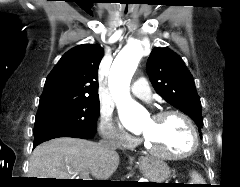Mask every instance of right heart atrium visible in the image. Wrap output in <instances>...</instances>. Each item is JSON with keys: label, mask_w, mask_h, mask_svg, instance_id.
<instances>
[{"label": "right heart atrium", "mask_w": 240, "mask_h": 187, "mask_svg": "<svg viewBox=\"0 0 240 187\" xmlns=\"http://www.w3.org/2000/svg\"><path fill=\"white\" fill-rule=\"evenodd\" d=\"M99 132L103 142L116 146L125 147L134 144L125 135H123L115 124L112 122L111 116L107 113L102 114L99 124Z\"/></svg>", "instance_id": "obj_1"}]
</instances>
